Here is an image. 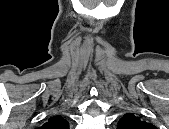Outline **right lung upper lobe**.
Listing matches in <instances>:
<instances>
[{"mask_svg":"<svg viewBox=\"0 0 169 129\" xmlns=\"http://www.w3.org/2000/svg\"><path fill=\"white\" fill-rule=\"evenodd\" d=\"M43 127L45 129H68L69 123L61 116H53L49 118L48 122H46Z\"/></svg>","mask_w":169,"mask_h":129,"instance_id":"obj_1","label":"right lung upper lobe"}]
</instances>
